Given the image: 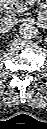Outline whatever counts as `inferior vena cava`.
Instances as JSON below:
<instances>
[{
  "instance_id": "602c4592",
  "label": "inferior vena cava",
  "mask_w": 47,
  "mask_h": 129,
  "mask_svg": "<svg viewBox=\"0 0 47 129\" xmlns=\"http://www.w3.org/2000/svg\"><path fill=\"white\" fill-rule=\"evenodd\" d=\"M16 24H17V19L15 17H11V16L5 17L1 20V31L8 32Z\"/></svg>"
}]
</instances>
